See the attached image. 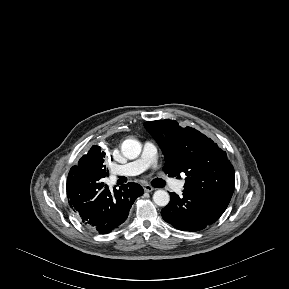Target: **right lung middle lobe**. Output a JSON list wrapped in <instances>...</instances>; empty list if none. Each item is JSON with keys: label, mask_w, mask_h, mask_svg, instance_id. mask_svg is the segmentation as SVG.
<instances>
[{"label": "right lung middle lobe", "mask_w": 289, "mask_h": 289, "mask_svg": "<svg viewBox=\"0 0 289 289\" xmlns=\"http://www.w3.org/2000/svg\"><path fill=\"white\" fill-rule=\"evenodd\" d=\"M82 167L89 169V171H91L94 175L98 176L101 179L109 175V172L105 166L104 155L97 157L95 163H92L89 166H86V164H83Z\"/></svg>", "instance_id": "right-lung-middle-lobe-1"}]
</instances>
